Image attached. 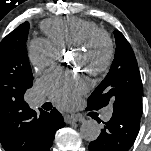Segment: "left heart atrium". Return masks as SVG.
I'll return each instance as SVG.
<instances>
[{"instance_id":"obj_1","label":"left heart atrium","mask_w":151,"mask_h":151,"mask_svg":"<svg viewBox=\"0 0 151 151\" xmlns=\"http://www.w3.org/2000/svg\"><path fill=\"white\" fill-rule=\"evenodd\" d=\"M41 85L48 96L62 107L73 105L88 88V82L83 75L62 70L48 72L42 78Z\"/></svg>"}]
</instances>
